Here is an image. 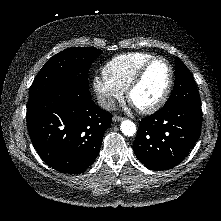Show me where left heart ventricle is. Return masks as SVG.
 <instances>
[{"mask_svg": "<svg viewBox=\"0 0 221 221\" xmlns=\"http://www.w3.org/2000/svg\"><path fill=\"white\" fill-rule=\"evenodd\" d=\"M168 80L166 64L157 60L147 69L142 81L132 93V103L136 107H146L156 102L162 95Z\"/></svg>", "mask_w": 221, "mask_h": 221, "instance_id": "left-heart-ventricle-1", "label": "left heart ventricle"}]
</instances>
